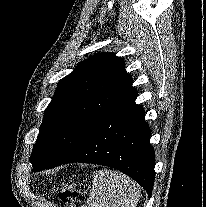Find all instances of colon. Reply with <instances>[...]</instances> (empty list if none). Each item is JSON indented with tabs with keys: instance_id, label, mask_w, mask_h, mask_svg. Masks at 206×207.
<instances>
[{
	"instance_id": "1",
	"label": "colon",
	"mask_w": 206,
	"mask_h": 207,
	"mask_svg": "<svg viewBox=\"0 0 206 207\" xmlns=\"http://www.w3.org/2000/svg\"><path fill=\"white\" fill-rule=\"evenodd\" d=\"M58 196L65 207H76L79 191L71 181H66L58 187Z\"/></svg>"
}]
</instances>
